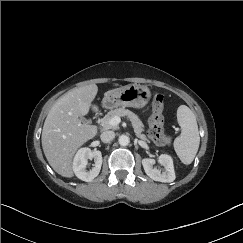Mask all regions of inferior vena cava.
Here are the masks:
<instances>
[{"instance_id":"1","label":"inferior vena cava","mask_w":243,"mask_h":243,"mask_svg":"<svg viewBox=\"0 0 243 243\" xmlns=\"http://www.w3.org/2000/svg\"><path fill=\"white\" fill-rule=\"evenodd\" d=\"M100 138L102 142L109 143L115 138V133L113 131H104L101 133Z\"/></svg>"}]
</instances>
